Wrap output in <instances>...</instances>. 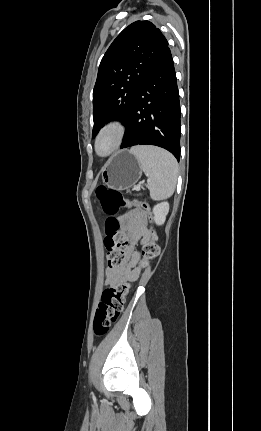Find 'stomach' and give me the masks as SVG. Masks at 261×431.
<instances>
[{"label": "stomach", "mask_w": 261, "mask_h": 431, "mask_svg": "<svg viewBox=\"0 0 261 431\" xmlns=\"http://www.w3.org/2000/svg\"><path fill=\"white\" fill-rule=\"evenodd\" d=\"M142 169L130 151L113 155L102 169V180L110 188L124 190L133 186L141 177Z\"/></svg>", "instance_id": "0dacf381"}]
</instances>
